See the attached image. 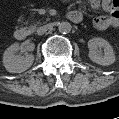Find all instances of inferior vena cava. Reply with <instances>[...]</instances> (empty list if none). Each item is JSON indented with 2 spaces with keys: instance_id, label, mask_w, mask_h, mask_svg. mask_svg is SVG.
<instances>
[{
  "instance_id": "602c4592",
  "label": "inferior vena cava",
  "mask_w": 119,
  "mask_h": 119,
  "mask_svg": "<svg viewBox=\"0 0 119 119\" xmlns=\"http://www.w3.org/2000/svg\"><path fill=\"white\" fill-rule=\"evenodd\" d=\"M52 29V26L51 24H47V25H44L42 27H39L37 29V34L38 35H43L44 33H46L47 31L51 30Z\"/></svg>"
}]
</instances>
